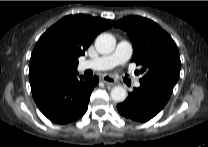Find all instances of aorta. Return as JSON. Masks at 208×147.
I'll list each match as a JSON object with an SVG mask.
<instances>
[{"mask_svg": "<svg viewBox=\"0 0 208 147\" xmlns=\"http://www.w3.org/2000/svg\"><path fill=\"white\" fill-rule=\"evenodd\" d=\"M116 39L109 33H102L95 40V48L101 54H109L114 51ZM127 97L126 90L121 86H115L111 90V98L115 102H123Z\"/></svg>", "mask_w": 208, "mask_h": 147, "instance_id": "aorta-1", "label": "aorta"}]
</instances>
